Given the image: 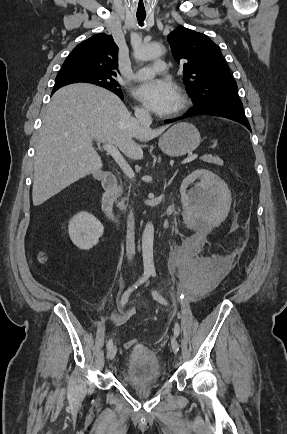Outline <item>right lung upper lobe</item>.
<instances>
[{
  "label": "right lung upper lobe",
  "mask_w": 287,
  "mask_h": 434,
  "mask_svg": "<svg viewBox=\"0 0 287 434\" xmlns=\"http://www.w3.org/2000/svg\"><path fill=\"white\" fill-rule=\"evenodd\" d=\"M118 46L113 37L105 33L95 34L81 42L68 56L62 69L78 68L96 73L117 76ZM60 86H55L52 93Z\"/></svg>",
  "instance_id": "obj_1"
}]
</instances>
